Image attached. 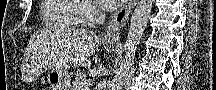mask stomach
Here are the masks:
<instances>
[{
	"instance_id": "obj_1",
	"label": "stomach",
	"mask_w": 216,
	"mask_h": 90,
	"mask_svg": "<svg viewBox=\"0 0 216 90\" xmlns=\"http://www.w3.org/2000/svg\"><path fill=\"white\" fill-rule=\"evenodd\" d=\"M47 81L53 90H69L71 79L66 70L52 69L47 76Z\"/></svg>"
}]
</instances>
